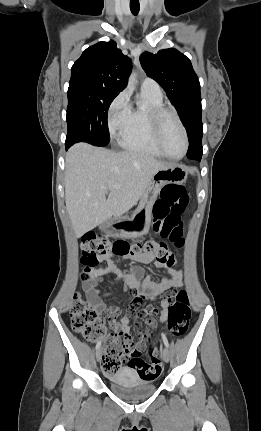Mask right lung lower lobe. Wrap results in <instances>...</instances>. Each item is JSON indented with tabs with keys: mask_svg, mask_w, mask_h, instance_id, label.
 Masks as SVG:
<instances>
[{
	"mask_svg": "<svg viewBox=\"0 0 261 431\" xmlns=\"http://www.w3.org/2000/svg\"><path fill=\"white\" fill-rule=\"evenodd\" d=\"M69 148V146L68 145H66V150Z\"/></svg>",
	"mask_w": 261,
	"mask_h": 431,
	"instance_id": "right-lung-lower-lobe-1",
	"label": "right lung lower lobe"
}]
</instances>
